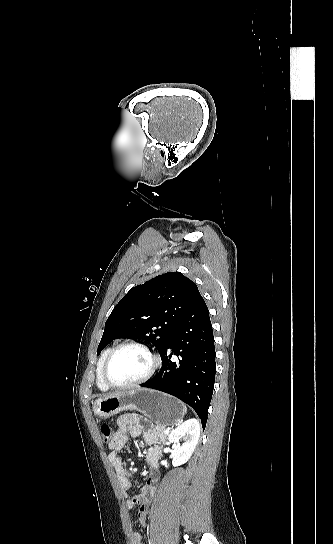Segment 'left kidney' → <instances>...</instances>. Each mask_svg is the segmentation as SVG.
Instances as JSON below:
<instances>
[{
	"instance_id": "left-kidney-1",
	"label": "left kidney",
	"mask_w": 333,
	"mask_h": 544,
	"mask_svg": "<svg viewBox=\"0 0 333 544\" xmlns=\"http://www.w3.org/2000/svg\"><path fill=\"white\" fill-rule=\"evenodd\" d=\"M199 436L200 425L196 419H190L182 423L170 433L168 440L172 443L173 466L182 465L190 459L198 443ZM181 438L185 441L182 445H180Z\"/></svg>"
}]
</instances>
